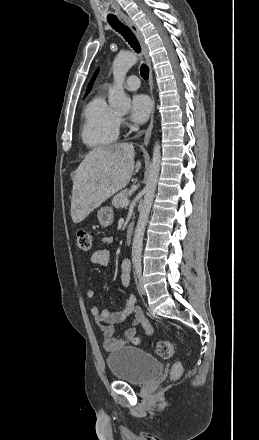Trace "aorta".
Here are the masks:
<instances>
[{
    "mask_svg": "<svg viewBox=\"0 0 259 440\" xmlns=\"http://www.w3.org/2000/svg\"><path fill=\"white\" fill-rule=\"evenodd\" d=\"M137 56L133 53L119 54L113 61L112 71L114 77V85L109 91V105L120 111H128L131 106V99L125 94L124 80L129 69L137 63ZM161 152L158 142L155 143L153 149L152 163L145 187V195L142 203L138 223L133 239L134 261H141V253L143 248V237L148 216L152 207L157 181L160 172Z\"/></svg>",
    "mask_w": 259,
    "mask_h": 440,
    "instance_id": "1",
    "label": "aorta"
}]
</instances>
